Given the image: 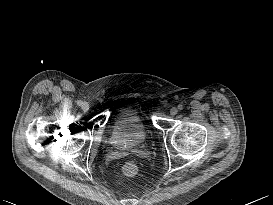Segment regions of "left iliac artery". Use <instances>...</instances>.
Segmentation results:
<instances>
[{
    "mask_svg": "<svg viewBox=\"0 0 273 205\" xmlns=\"http://www.w3.org/2000/svg\"><path fill=\"white\" fill-rule=\"evenodd\" d=\"M178 109H179V110H182V109H183V105L179 104V105H178Z\"/></svg>",
    "mask_w": 273,
    "mask_h": 205,
    "instance_id": "44dca946",
    "label": "left iliac artery"
}]
</instances>
